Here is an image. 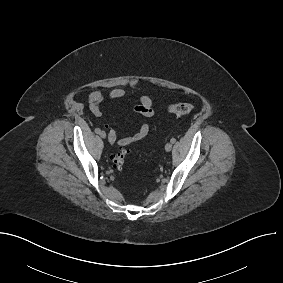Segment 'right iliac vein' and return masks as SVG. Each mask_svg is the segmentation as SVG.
Here are the masks:
<instances>
[{
    "instance_id": "right-iliac-vein-1",
    "label": "right iliac vein",
    "mask_w": 283,
    "mask_h": 283,
    "mask_svg": "<svg viewBox=\"0 0 283 283\" xmlns=\"http://www.w3.org/2000/svg\"><path fill=\"white\" fill-rule=\"evenodd\" d=\"M100 136H101L103 139H105V138H106V133H105L104 131H102V132L100 133Z\"/></svg>"
}]
</instances>
